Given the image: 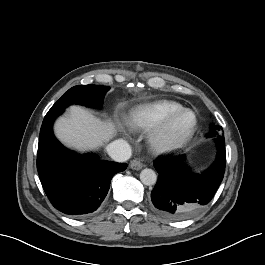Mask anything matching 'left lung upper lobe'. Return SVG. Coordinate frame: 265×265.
Returning a JSON list of instances; mask_svg holds the SVG:
<instances>
[{"instance_id": "5c2ea615", "label": "left lung upper lobe", "mask_w": 265, "mask_h": 265, "mask_svg": "<svg viewBox=\"0 0 265 265\" xmlns=\"http://www.w3.org/2000/svg\"><path fill=\"white\" fill-rule=\"evenodd\" d=\"M221 127H218V129H220ZM216 134H218L215 129L211 128V133L208 135L209 137L215 136ZM218 138H224L223 136H218Z\"/></svg>"}]
</instances>
